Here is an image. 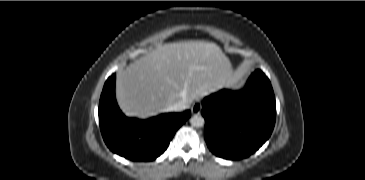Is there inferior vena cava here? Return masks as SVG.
<instances>
[{"label": "inferior vena cava", "mask_w": 365, "mask_h": 180, "mask_svg": "<svg viewBox=\"0 0 365 180\" xmlns=\"http://www.w3.org/2000/svg\"><path fill=\"white\" fill-rule=\"evenodd\" d=\"M188 108V105L185 101H180L169 107V111H182Z\"/></svg>", "instance_id": "1"}]
</instances>
